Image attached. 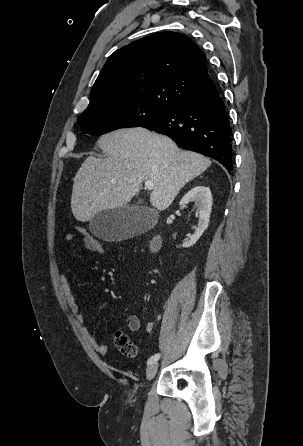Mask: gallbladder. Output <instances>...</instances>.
I'll use <instances>...</instances> for the list:
<instances>
[{
  "label": "gallbladder",
  "instance_id": "1",
  "mask_svg": "<svg viewBox=\"0 0 303 446\" xmlns=\"http://www.w3.org/2000/svg\"><path fill=\"white\" fill-rule=\"evenodd\" d=\"M155 213L138 206H123L97 213L90 222V231L103 240L114 241L147 230Z\"/></svg>",
  "mask_w": 303,
  "mask_h": 446
}]
</instances>
